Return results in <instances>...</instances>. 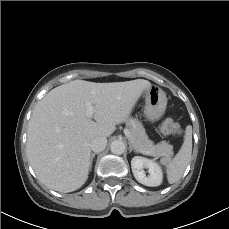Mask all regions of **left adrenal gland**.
<instances>
[{
    "instance_id": "left-adrenal-gland-1",
    "label": "left adrenal gland",
    "mask_w": 229,
    "mask_h": 229,
    "mask_svg": "<svg viewBox=\"0 0 229 229\" xmlns=\"http://www.w3.org/2000/svg\"><path fill=\"white\" fill-rule=\"evenodd\" d=\"M132 151H134L135 153H139L138 150H136L131 143H129V152L131 153Z\"/></svg>"
}]
</instances>
